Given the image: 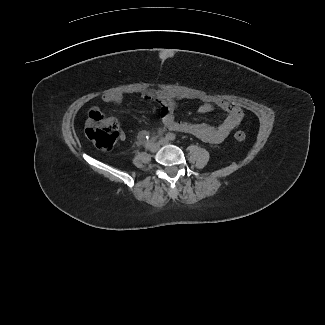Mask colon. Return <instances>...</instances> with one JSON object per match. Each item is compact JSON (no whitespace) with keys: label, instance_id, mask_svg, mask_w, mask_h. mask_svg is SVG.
I'll use <instances>...</instances> for the list:
<instances>
[{"label":"colon","instance_id":"5ec220e1","mask_svg":"<svg viewBox=\"0 0 325 325\" xmlns=\"http://www.w3.org/2000/svg\"><path fill=\"white\" fill-rule=\"evenodd\" d=\"M87 138L98 148L110 150L118 139V127L115 120L107 118L99 111H90L85 126ZM234 138L242 142L246 139L243 131H237Z\"/></svg>","mask_w":325,"mask_h":325}]
</instances>
